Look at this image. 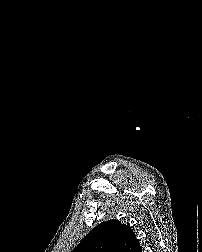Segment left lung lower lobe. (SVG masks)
Listing matches in <instances>:
<instances>
[{"mask_svg": "<svg viewBox=\"0 0 202 252\" xmlns=\"http://www.w3.org/2000/svg\"><path fill=\"white\" fill-rule=\"evenodd\" d=\"M136 252H142V248H141L140 244H139V247H138V249L136 250Z\"/></svg>", "mask_w": 202, "mask_h": 252, "instance_id": "1", "label": "left lung lower lobe"}]
</instances>
